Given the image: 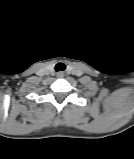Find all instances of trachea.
<instances>
[{"label": "trachea", "instance_id": "obj_1", "mask_svg": "<svg viewBox=\"0 0 134 159\" xmlns=\"http://www.w3.org/2000/svg\"><path fill=\"white\" fill-rule=\"evenodd\" d=\"M65 69H66V66L62 62L57 63L56 66H55V71L56 72L64 71Z\"/></svg>", "mask_w": 134, "mask_h": 159}]
</instances>
